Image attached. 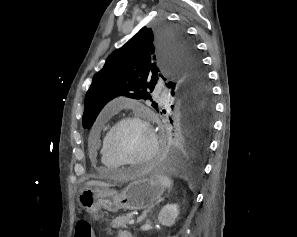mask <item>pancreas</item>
I'll return each instance as SVG.
<instances>
[{
  "instance_id": "cf45deb5",
  "label": "pancreas",
  "mask_w": 297,
  "mask_h": 237,
  "mask_svg": "<svg viewBox=\"0 0 297 237\" xmlns=\"http://www.w3.org/2000/svg\"><path fill=\"white\" fill-rule=\"evenodd\" d=\"M132 218H133V214L132 213H127L125 215L118 216L114 220H112L111 226L113 228H126L127 227V223Z\"/></svg>"
}]
</instances>
